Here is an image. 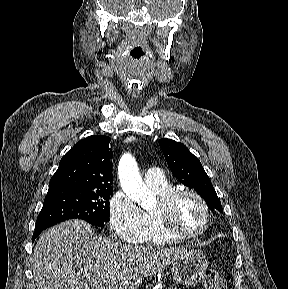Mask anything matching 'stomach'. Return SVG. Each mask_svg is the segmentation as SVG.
Instances as JSON below:
<instances>
[{
    "label": "stomach",
    "instance_id": "obj_1",
    "mask_svg": "<svg viewBox=\"0 0 288 289\" xmlns=\"http://www.w3.org/2000/svg\"><path fill=\"white\" fill-rule=\"evenodd\" d=\"M207 268L206 255L199 250H191L173 262V279L182 286H192L201 280Z\"/></svg>",
    "mask_w": 288,
    "mask_h": 289
}]
</instances>
